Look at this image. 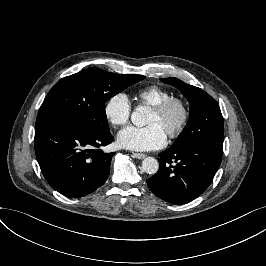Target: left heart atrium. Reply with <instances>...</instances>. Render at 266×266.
I'll list each match as a JSON object with an SVG mask.
<instances>
[{
	"label": "left heart atrium",
	"instance_id": "39dd6f15",
	"mask_svg": "<svg viewBox=\"0 0 266 266\" xmlns=\"http://www.w3.org/2000/svg\"><path fill=\"white\" fill-rule=\"evenodd\" d=\"M166 132L158 124L128 126L118 134L121 146L138 151L158 149L166 143Z\"/></svg>",
	"mask_w": 266,
	"mask_h": 266
}]
</instances>
